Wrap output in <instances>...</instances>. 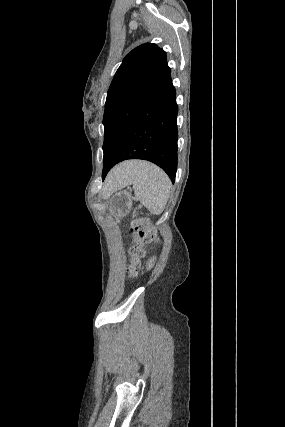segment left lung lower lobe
<instances>
[{"label":"left lung lower lobe","mask_w":285,"mask_h":427,"mask_svg":"<svg viewBox=\"0 0 285 427\" xmlns=\"http://www.w3.org/2000/svg\"><path fill=\"white\" fill-rule=\"evenodd\" d=\"M177 113L176 92L170 76L126 127L110 169L128 159L148 160L161 167L174 182L177 170Z\"/></svg>","instance_id":"0a47b994"}]
</instances>
